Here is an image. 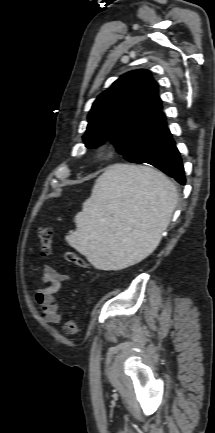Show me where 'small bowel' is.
Listing matches in <instances>:
<instances>
[{"label":"small bowel","instance_id":"obj_1","mask_svg":"<svg viewBox=\"0 0 215 433\" xmlns=\"http://www.w3.org/2000/svg\"><path fill=\"white\" fill-rule=\"evenodd\" d=\"M69 280V276L59 273L50 265H44L42 282L45 287L38 288L34 294L36 303L40 306L46 322L57 324L62 320V313L57 303V295L62 285Z\"/></svg>","mask_w":215,"mask_h":433}]
</instances>
